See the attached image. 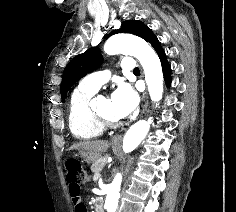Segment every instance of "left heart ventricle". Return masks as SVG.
Instances as JSON below:
<instances>
[{"label": "left heart ventricle", "mask_w": 236, "mask_h": 212, "mask_svg": "<svg viewBox=\"0 0 236 212\" xmlns=\"http://www.w3.org/2000/svg\"><path fill=\"white\" fill-rule=\"evenodd\" d=\"M97 109L108 118L118 120V118L115 117L112 111L111 97H102L98 102Z\"/></svg>", "instance_id": "b2bd125f"}]
</instances>
